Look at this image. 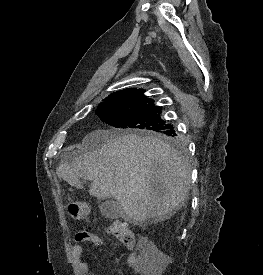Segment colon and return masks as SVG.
<instances>
[{"label": "colon", "instance_id": "5ec220e1", "mask_svg": "<svg viewBox=\"0 0 263 275\" xmlns=\"http://www.w3.org/2000/svg\"><path fill=\"white\" fill-rule=\"evenodd\" d=\"M69 213L76 220H85L89 216L88 208L83 203H72L69 206ZM107 232L113 235L121 244L130 250L136 248V241L131 229L122 222H113L107 226ZM163 259L157 254L148 255L143 262L142 275H157Z\"/></svg>", "mask_w": 263, "mask_h": 275}]
</instances>
